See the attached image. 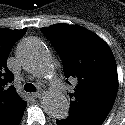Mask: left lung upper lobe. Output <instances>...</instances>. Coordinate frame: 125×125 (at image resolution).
Returning a JSON list of instances; mask_svg holds the SVG:
<instances>
[{"label": "left lung upper lobe", "mask_w": 125, "mask_h": 125, "mask_svg": "<svg viewBox=\"0 0 125 125\" xmlns=\"http://www.w3.org/2000/svg\"><path fill=\"white\" fill-rule=\"evenodd\" d=\"M41 31L58 51L66 78L76 79L69 115L103 123L118 91L116 61L106 42L75 25L56 24Z\"/></svg>", "instance_id": "left-lung-upper-lobe-1"}]
</instances>
